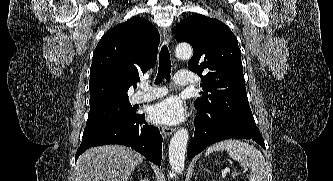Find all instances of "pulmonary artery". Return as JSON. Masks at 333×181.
Wrapping results in <instances>:
<instances>
[{
	"instance_id": "obj_1",
	"label": "pulmonary artery",
	"mask_w": 333,
	"mask_h": 181,
	"mask_svg": "<svg viewBox=\"0 0 333 181\" xmlns=\"http://www.w3.org/2000/svg\"><path fill=\"white\" fill-rule=\"evenodd\" d=\"M175 82L178 86H189L191 85L194 80L192 78L191 73L189 72H178L175 75ZM143 91L136 93L132 101L134 103H142L151 101L157 98L164 96L167 93V90L163 87H154L150 85L142 86Z\"/></svg>"
}]
</instances>
